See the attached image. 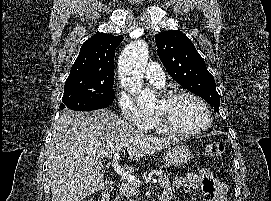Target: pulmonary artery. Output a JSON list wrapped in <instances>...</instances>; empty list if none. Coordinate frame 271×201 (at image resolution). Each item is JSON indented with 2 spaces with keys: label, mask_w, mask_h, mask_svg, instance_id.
<instances>
[{
  "label": "pulmonary artery",
  "mask_w": 271,
  "mask_h": 201,
  "mask_svg": "<svg viewBox=\"0 0 271 201\" xmlns=\"http://www.w3.org/2000/svg\"><path fill=\"white\" fill-rule=\"evenodd\" d=\"M144 76L149 82L159 86H162L165 82L164 71L155 62L148 63Z\"/></svg>",
  "instance_id": "obj_1"
}]
</instances>
